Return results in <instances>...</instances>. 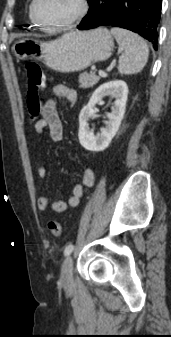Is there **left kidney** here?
<instances>
[{
    "label": "left kidney",
    "mask_w": 171,
    "mask_h": 337,
    "mask_svg": "<svg viewBox=\"0 0 171 337\" xmlns=\"http://www.w3.org/2000/svg\"><path fill=\"white\" fill-rule=\"evenodd\" d=\"M128 87L124 81L115 80L100 85L92 94L88 104L81 110L79 115L78 137L80 144L89 151L99 152L105 150L112 138L116 135L121 121L124 117ZM105 96L115 99L111 113L106 117V127L101 128V132L95 135L89 127V119L95 117V105Z\"/></svg>",
    "instance_id": "obj_1"
}]
</instances>
